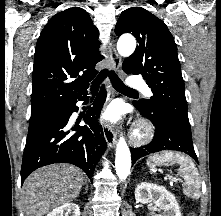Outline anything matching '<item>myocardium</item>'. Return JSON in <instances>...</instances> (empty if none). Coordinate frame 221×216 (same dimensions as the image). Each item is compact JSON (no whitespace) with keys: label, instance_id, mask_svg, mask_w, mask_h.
Here are the masks:
<instances>
[{"label":"myocardium","instance_id":"myocardium-1","mask_svg":"<svg viewBox=\"0 0 221 216\" xmlns=\"http://www.w3.org/2000/svg\"><path fill=\"white\" fill-rule=\"evenodd\" d=\"M154 134L153 125L146 120L139 121L132 133V141L135 144H141L152 138Z\"/></svg>","mask_w":221,"mask_h":216}]
</instances>
